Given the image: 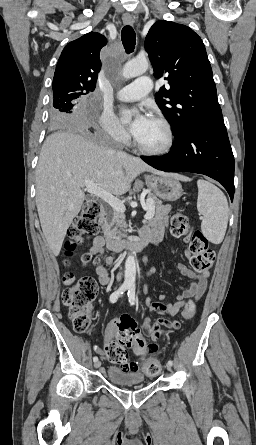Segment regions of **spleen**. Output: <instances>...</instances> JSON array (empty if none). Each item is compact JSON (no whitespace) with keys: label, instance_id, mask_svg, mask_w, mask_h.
Instances as JSON below:
<instances>
[{"label":"spleen","instance_id":"1","mask_svg":"<svg viewBox=\"0 0 256 445\" xmlns=\"http://www.w3.org/2000/svg\"><path fill=\"white\" fill-rule=\"evenodd\" d=\"M197 209L203 215L201 230L204 236L214 244H220L225 236L229 208L223 192L212 183L199 179Z\"/></svg>","mask_w":256,"mask_h":445}]
</instances>
